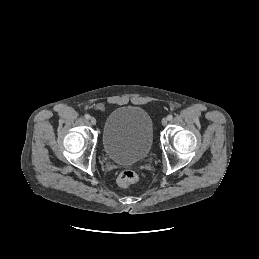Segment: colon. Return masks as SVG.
<instances>
[{
    "label": "colon",
    "instance_id": "colon-1",
    "mask_svg": "<svg viewBox=\"0 0 259 259\" xmlns=\"http://www.w3.org/2000/svg\"><path fill=\"white\" fill-rule=\"evenodd\" d=\"M139 180V175L133 170H124L120 173L117 182L121 188H128Z\"/></svg>",
    "mask_w": 259,
    "mask_h": 259
}]
</instances>
